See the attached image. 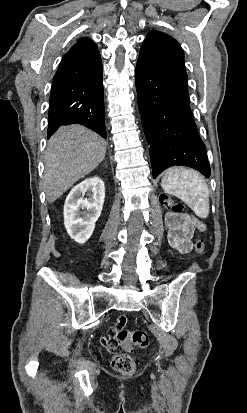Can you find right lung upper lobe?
I'll list each match as a JSON object with an SVG mask.
<instances>
[{"instance_id":"1","label":"right lung upper lobe","mask_w":247,"mask_h":413,"mask_svg":"<svg viewBox=\"0 0 247 413\" xmlns=\"http://www.w3.org/2000/svg\"><path fill=\"white\" fill-rule=\"evenodd\" d=\"M98 63H101V57L97 45L90 39L82 38L63 56L59 68L78 69Z\"/></svg>"}]
</instances>
